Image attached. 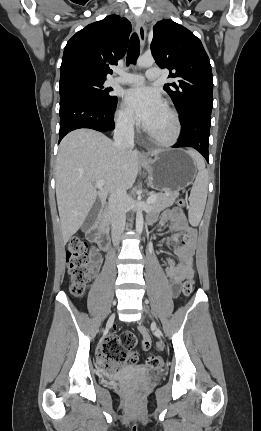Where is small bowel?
Segmentation results:
<instances>
[{
  "label": "small bowel",
  "mask_w": 261,
  "mask_h": 431,
  "mask_svg": "<svg viewBox=\"0 0 261 431\" xmlns=\"http://www.w3.org/2000/svg\"><path fill=\"white\" fill-rule=\"evenodd\" d=\"M154 218H150L149 222H153ZM161 225L168 224L174 231L170 236L164 238L162 243L166 246H177L181 233L185 231L193 232L187 225L185 215L181 209L173 208L166 210L159 220ZM194 247L192 244L180 247L177 249V254L181 260L176 263L173 259L168 260L166 267V274L170 280L171 292L177 295L180 283L188 278L194 276L193 256ZM102 255L97 250L90 252V266L92 270H96L102 263ZM152 347V342L148 334H143L142 350L148 351ZM149 365V364H148ZM151 367V365H149Z\"/></svg>",
  "instance_id": "c3829d8e"
}]
</instances>
